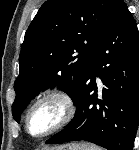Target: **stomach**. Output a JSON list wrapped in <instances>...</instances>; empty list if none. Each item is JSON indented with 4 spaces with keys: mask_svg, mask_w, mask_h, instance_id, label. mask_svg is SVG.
<instances>
[{
    "mask_svg": "<svg viewBox=\"0 0 139 150\" xmlns=\"http://www.w3.org/2000/svg\"><path fill=\"white\" fill-rule=\"evenodd\" d=\"M49 150H83V149L81 145L66 144V145L55 147V148H51Z\"/></svg>",
    "mask_w": 139,
    "mask_h": 150,
    "instance_id": "1",
    "label": "stomach"
}]
</instances>
